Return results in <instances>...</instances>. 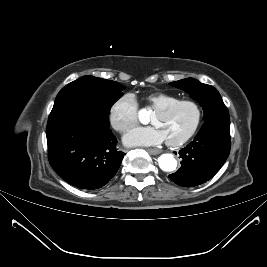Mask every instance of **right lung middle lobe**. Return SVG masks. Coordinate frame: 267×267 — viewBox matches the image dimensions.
I'll return each mask as SVG.
<instances>
[{
    "mask_svg": "<svg viewBox=\"0 0 267 267\" xmlns=\"http://www.w3.org/2000/svg\"><path fill=\"white\" fill-rule=\"evenodd\" d=\"M124 89L115 81L94 76L81 77L58 93L48 123L65 115L79 114L109 125L110 109L123 95Z\"/></svg>",
    "mask_w": 267,
    "mask_h": 267,
    "instance_id": "right-lung-middle-lobe-1",
    "label": "right lung middle lobe"
}]
</instances>
